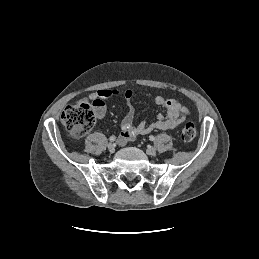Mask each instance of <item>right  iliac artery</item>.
<instances>
[{"instance_id": "right-iliac-artery-1", "label": "right iliac artery", "mask_w": 259, "mask_h": 259, "mask_svg": "<svg viewBox=\"0 0 259 259\" xmlns=\"http://www.w3.org/2000/svg\"><path fill=\"white\" fill-rule=\"evenodd\" d=\"M109 140H110L111 142H114V141L116 140V137H115V136H110Z\"/></svg>"}]
</instances>
